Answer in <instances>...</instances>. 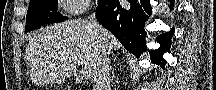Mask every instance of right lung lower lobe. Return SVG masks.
<instances>
[{"mask_svg": "<svg viewBox=\"0 0 216 90\" xmlns=\"http://www.w3.org/2000/svg\"><path fill=\"white\" fill-rule=\"evenodd\" d=\"M129 3V7H122L118 1H102L96 8V18L130 53L139 57L147 49L144 26L152 11L149 1H129ZM172 7L173 3L170 5L171 9ZM173 33L174 28L157 37L160 47L150 52L151 61L163 69L166 64L163 54L169 52Z\"/></svg>", "mask_w": 216, "mask_h": 90, "instance_id": "98d812e1", "label": "right lung lower lobe"}]
</instances>
